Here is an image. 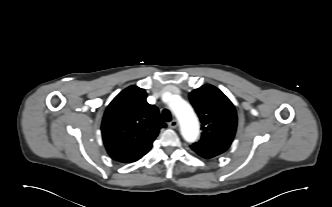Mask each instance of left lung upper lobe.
I'll return each mask as SVG.
<instances>
[{
  "label": "left lung upper lobe",
  "instance_id": "1",
  "mask_svg": "<svg viewBox=\"0 0 332 207\" xmlns=\"http://www.w3.org/2000/svg\"><path fill=\"white\" fill-rule=\"evenodd\" d=\"M201 121V139L191 148L202 156L215 157L231 145L237 127V114L231 101L216 87L206 84L189 94Z\"/></svg>",
  "mask_w": 332,
  "mask_h": 207
}]
</instances>
